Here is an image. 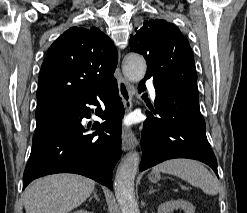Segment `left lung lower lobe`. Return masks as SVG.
<instances>
[{
  "label": "left lung lower lobe",
  "mask_w": 247,
  "mask_h": 213,
  "mask_svg": "<svg viewBox=\"0 0 247 213\" xmlns=\"http://www.w3.org/2000/svg\"><path fill=\"white\" fill-rule=\"evenodd\" d=\"M140 91L145 90L141 83ZM156 90L155 108L146 112L141 133L143 171L173 158H189L209 165L218 176L217 160L205 133V121L200 112L199 100L183 93Z\"/></svg>",
  "instance_id": "0a47b994"
}]
</instances>
